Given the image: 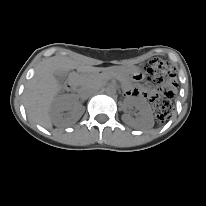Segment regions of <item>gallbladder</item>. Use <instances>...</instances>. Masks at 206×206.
<instances>
[{
  "instance_id": "gallbladder-1",
  "label": "gallbladder",
  "mask_w": 206,
  "mask_h": 206,
  "mask_svg": "<svg viewBox=\"0 0 206 206\" xmlns=\"http://www.w3.org/2000/svg\"><path fill=\"white\" fill-rule=\"evenodd\" d=\"M69 74L70 71L57 70L55 71L54 76L59 81L60 84H63V82L67 79Z\"/></svg>"
}]
</instances>
